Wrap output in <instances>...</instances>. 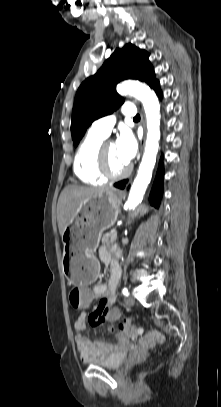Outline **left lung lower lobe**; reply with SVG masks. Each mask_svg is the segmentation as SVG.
<instances>
[{"instance_id":"0a47b994","label":"left lung lower lobe","mask_w":221,"mask_h":407,"mask_svg":"<svg viewBox=\"0 0 221 407\" xmlns=\"http://www.w3.org/2000/svg\"><path fill=\"white\" fill-rule=\"evenodd\" d=\"M153 89L155 90L157 95L161 98L162 93H161L160 88H159V82H157L154 85ZM163 175H164V169H163L162 160H160L159 168H158V171H157V174H156V178H155V181H154L151 193H150L151 204L153 206L157 207V208L159 207L160 200H161V197H162V192H163V189H162ZM126 183H127V180H124V181H120L118 183H115L114 186L117 187V188L123 189L125 187Z\"/></svg>"}]
</instances>
